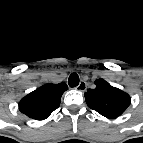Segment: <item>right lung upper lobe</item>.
Returning a JSON list of instances; mask_svg holds the SVG:
<instances>
[{
    "mask_svg": "<svg viewBox=\"0 0 143 143\" xmlns=\"http://www.w3.org/2000/svg\"><path fill=\"white\" fill-rule=\"evenodd\" d=\"M67 89L65 83L45 84L22 98L19 110L32 119L44 120L59 107Z\"/></svg>",
    "mask_w": 143,
    "mask_h": 143,
    "instance_id": "1",
    "label": "right lung upper lobe"
}]
</instances>
